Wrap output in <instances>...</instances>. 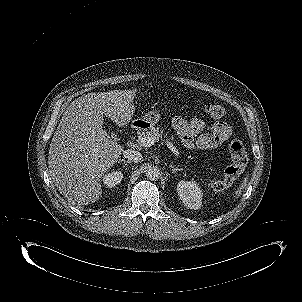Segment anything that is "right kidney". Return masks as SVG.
I'll use <instances>...</instances> for the list:
<instances>
[{
    "label": "right kidney",
    "instance_id": "1",
    "mask_svg": "<svg viewBox=\"0 0 302 302\" xmlns=\"http://www.w3.org/2000/svg\"><path fill=\"white\" fill-rule=\"evenodd\" d=\"M123 178V173L121 171H116L109 173L103 178V183L106 187L112 188L118 185Z\"/></svg>",
    "mask_w": 302,
    "mask_h": 302
}]
</instances>
